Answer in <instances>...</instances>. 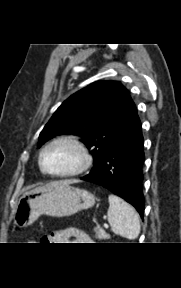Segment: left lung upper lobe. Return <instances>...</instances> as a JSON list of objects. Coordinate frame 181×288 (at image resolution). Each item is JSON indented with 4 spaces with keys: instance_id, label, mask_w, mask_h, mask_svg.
I'll return each mask as SVG.
<instances>
[{
    "instance_id": "obj_1",
    "label": "left lung upper lobe",
    "mask_w": 181,
    "mask_h": 288,
    "mask_svg": "<svg viewBox=\"0 0 181 288\" xmlns=\"http://www.w3.org/2000/svg\"><path fill=\"white\" fill-rule=\"evenodd\" d=\"M133 105L117 81H99L70 96L40 133L38 147L56 135L75 134L94 158L93 171L120 135Z\"/></svg>"
}]
</instances>
